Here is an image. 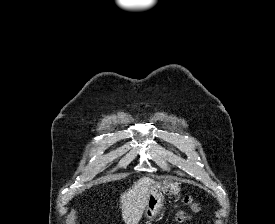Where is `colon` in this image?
Masks as SVG:
<instances>
[{"instance_id":"colon-1","label":"colon","mask_w":275,"mask_h":224,"mask_svg":"<svg viewBox=\"0 0 275 224\" xmlns=\"http://www.w3.org/2000/svg\"><path fill=\"white\" fill-rule=\"evenodd\" d=\"M185 205L188 207L187 210H181L176 214V221L178 224H183L190 220L191 213L197 212L199 207L198 205L192 200L191 197L187 196L184 199Z\"/></svg>"}]
</instances>
